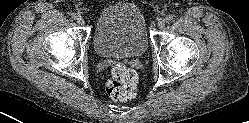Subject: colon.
<instances>
[{
	"instance_id": "5ec220e1",
	"label": "colon",
	"mask_w": 249,
	"mask_h": 123,
	"mask_svg": "<svg viewBox=\"0 0 249 123\" xmlns=\"http://www.w3.org/2000/svg\"><path fill=\"white\" fill-rule=\"evenodd\" d=\"M138 77L136 72L123 63L115 64L105 84L107 95L116 101H127L136 94Z\"/></svg>"
}]
</instances>
